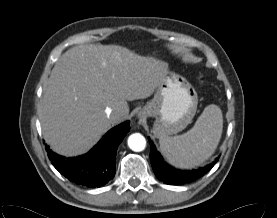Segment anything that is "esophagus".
<instances>
[{
	"label": "esophagus",
	"mask_w": 277,
	"mask_h": 218,
	"mask_svg": "<svg viewBox=\"0 0 277 218\" xmlns=\"http://www.w3.org/2000/svg\"><path fill=\"white\" fill-rule=\"evenodd\" d=\"M138 117H139V118H142V117H143V114L140 112V113L138 114Z\"/></svg>",
	"instance_id": "esophagus-1"
}]
</instances>
